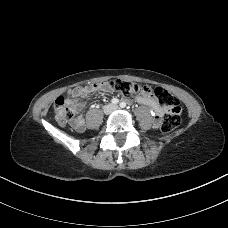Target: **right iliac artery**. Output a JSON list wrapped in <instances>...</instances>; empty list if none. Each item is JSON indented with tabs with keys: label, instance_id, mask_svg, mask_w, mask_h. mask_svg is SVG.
Returning a JSON list of instances; mask_svg holds the SVG:
<instances>
[{
	"label": "right iliac artery",
	"instance_id": "right-iliac-artery-1",
	"mask_svg": "<svg viewBox=\"0 0 228 228\" xmlns=\"http://www.w3.org/2000/svg\"><path fill=\"white\" fill-rule=\"evenodd\" d=\"M111 103H112V104H118V103H119V100H118L117 98H113V99L111 100Z\"/></svg>",
	"mask_w": 228,
	"mask_h": 228
}]
</instances>
